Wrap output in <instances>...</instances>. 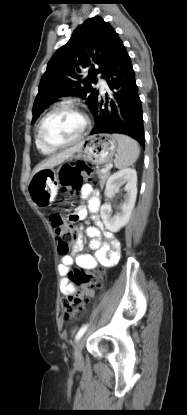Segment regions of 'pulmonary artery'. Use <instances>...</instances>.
Masks as SVG:
<instances>
[{
    "label": "pulmonary artery",
    "mask_w": 187,
    "mask_h": 415,
    "mask_svg": "<svg viewBox=\"0 0 187 415\" xmlns=\"http://www.w3.org/2000/svg\"><path fill=\"white\" fill-rule=\"evenodd\" d=\"M99 85H100L102 90L107 88V83L103 79L99 80Z\"/></svg>",
    "instance_id": "e3ab8cb5"
}]
</instances>
